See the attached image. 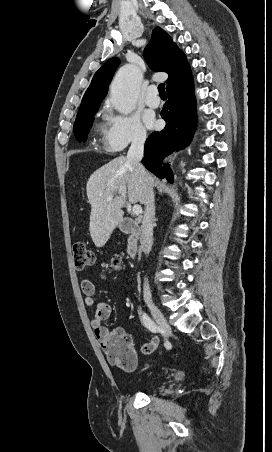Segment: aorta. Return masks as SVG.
Wrapping results in <instances>:
<instances>
[{
    "label": "aorta",
    "mask_w": 272,
    "mask_h": 452,
    "mask_svg": "<svg viewBox=\"0 0 272 452\" xmlns=\"http://www.w3.org/2000/svg\"><path fill=\"white\" fill-rule=\"evenodd\" d=\"M141 84V73L134 65L119 69L110 87V101L121 114L131 113L136 106Z\"/></svg>",
    "instance_id": "762f6f07"
}]
</instances>
